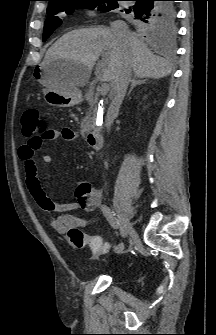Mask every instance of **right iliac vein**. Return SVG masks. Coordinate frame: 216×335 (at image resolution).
I'll list each match as a JSON object with an SVG mask.
<instances>
[{"label": "right iliac vein", "instance_id": "63e3f726", "mask_svg": "<svg viewBox=\"0 0 216 335\" xmlns=\"http://www.w3.org/2000/svg\"><path fill=\"white\" fill-rule=\"evenodd\" d=\"M132 232V226L130 221L125 217H121V230L120 234L122 238H126Z\"/></svg>", "mask_w": 216, "mask_h": 335}]
</instances>
